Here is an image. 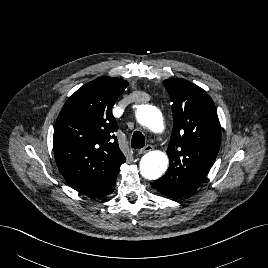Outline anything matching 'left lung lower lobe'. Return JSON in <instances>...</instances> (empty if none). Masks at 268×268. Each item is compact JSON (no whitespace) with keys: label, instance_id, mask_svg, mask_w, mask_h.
Listing matches in <instances>:
<instances>
[{"label":"left lung lower lobe","instance_id":"obj_1","mask_svg":"<svg viewBox=\"0 0 268 268\" xmlns=\"http://www.w3.org/2000/svg\"><path fill=\"white\" fill-rule=\"evenodd\" d=\"M159 192H161L162 194H164V195H166V196H169V197H172V198H177V197H174L173 195H170V194H168V193H166V192H164V191H161V190H159V189H157Z\"/></svg>","mask_w":268,"mask_h":268}]
</instances>
